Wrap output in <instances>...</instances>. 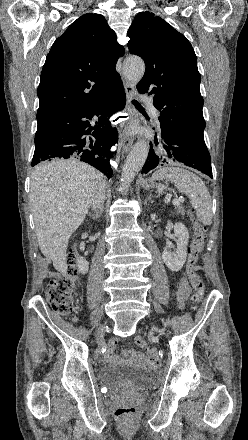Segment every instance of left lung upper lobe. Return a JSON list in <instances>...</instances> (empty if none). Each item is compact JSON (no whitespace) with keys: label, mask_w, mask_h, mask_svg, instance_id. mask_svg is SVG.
Segmentation results:
<instances>
[{"label":"left lung upper lobe","mask_w":248,"mask_h":440,"mask_svg":"<svg viewBox=\"0 0 248 440\" xmlns=\"http://www.w3.org/2000/svg\"><path fill=\"white\" fill-rule=\"evenodd\" d=\"M131 54L146 65L138 83L140 93L153 94L159 120L203 137V98L195 52L184 35L150 12L135 16L128 30Z\"/></svg>","instance_id":"5c2ea615"}]
</instances>
